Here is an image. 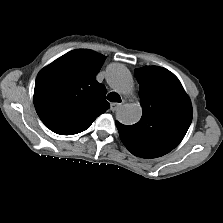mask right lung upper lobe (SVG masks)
<instances>
[{
  "label": "right lung upper lobe",
  "instance_id": "1",
  "mask_svg": "<svg viewBox=\"0 0 223 223\" xmlns=\"http://www.w3.org/2000/svg\"><path fill=\"white\" fill-rule=\"evenodd\" d=\"M104 60L97 52L78 49L40 71L34 105L50 130L60 135L77 134L110 107L105 86L95 78Z\"/></svg>",
  "mask_w": 223,
  "mask_h": 223
}]
</instances>
